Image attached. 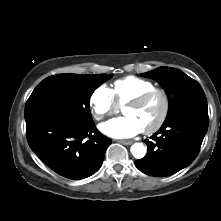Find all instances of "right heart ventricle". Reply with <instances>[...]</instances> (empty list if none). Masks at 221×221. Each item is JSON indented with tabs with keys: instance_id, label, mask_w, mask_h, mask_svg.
<instances>
[{
	"instance_id": "obj_1",
	"label": "right heart ventricle",
	"mask_w": 221,
	"mask_h": 221,
	"mask_svg": "<svg viewBox=\"0 0 221 221\" xmlns=\"http://www.w3.org/2000/svg\"><path fill=\"white\" fill-rule=\"evenodd\" d=\"M155 88V84L137 76H126L118 79L113 85V94L118 105H125L130 100Z\"/></svg>"
}]
</instances>
